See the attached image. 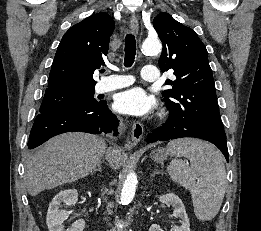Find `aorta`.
I'll use <instances>...</instances> for the list:
<instances>
[{"label":"aorta","mask_w":261,"mask_h":231,"mask_svg":"<svg viewBox=\"0 0 261 231\" xmlns=\"http://www.w3.org/2000/svg\"><path fill=\"white\" fill-rule=\"evenodd\" d=\"M161 49L162 45L158 40H145L142 44V52L147 56L157 55L161 52ZM137 183L138 180L136 174L130 172L125 179L121 191L120 200L122 204H129L134 198Z\"/></svg>","instance_id":"aorta-1"}]
</instances>
